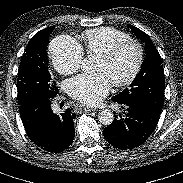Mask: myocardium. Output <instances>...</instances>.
Returning a JSON list of instances; mask_svg holds the SVG:
<instances>
[{
    "label": "myocardium",
    "mask_w": 183,
    "mask_h": 183,
    "mask_svg": "<svg viewBox=\"0 0 183 183\" xmlns=\"http://www.w3.org/2000/svg\"><path fill=\"white\" fill-rule=\"evenodd\" d=\"M127 45H133L136 47V49H137V61H136V64H135L132 72L130 73V75L128 77H126L123 80L116 81V82L112 83L113 86L118 87V88L125 87V86L132 84L135 81V79L138 77V75L142 69L143 63H144L143 46L137 40L129 38V39L115 43L107 50L98 54V57H100L104 60H110L114 56H116L119 53V51Z\"/></svg>",
    "instance_id": "myocardium-1"
}]
</instances>
